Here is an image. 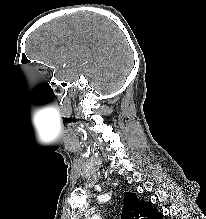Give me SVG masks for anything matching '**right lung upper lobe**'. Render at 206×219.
Segmentation results:
<instances>
[{
  "instance_id": "right-lung-upper-lobe-1",
  "label": "right lung upper lobe",
  "mask_w": 206,
  "mask_h": 219,
  "mask_svg": "<svg viewBox=\"0 0 206 219\" xmlns=\"http://www.w3.org/2000/svg\"><path fill=\"white\" fill-rule=\"evenodd\" d=\"M123 204L121 219H163V214L157 212L151 202L140 201L135 193L125 192Z\"/></svg>"
}]
</instances>
